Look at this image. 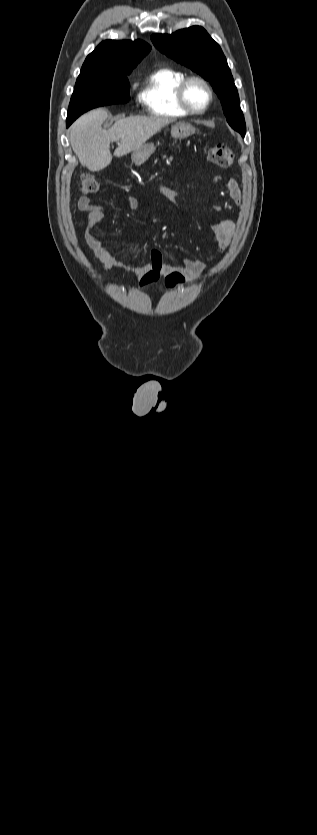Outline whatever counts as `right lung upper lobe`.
I'll return each instance as SVG.
<instances>
[{"mask_svg": "<svg viewBox=\"0 0 317 835\" xmlns=\"http://www.w3.org/2000/svg\"><path fill=\"white\" fill-rule=\"evenodd\" d=\"M151 47L140 40L134 42L106 40L87 56L81 73H105L133 69L150 51Z\"/></svg>", "mask_w": 317, "mask_h": 835, "instance_id": "obj_1", "label": "right lung upper lobe"}]
</instances>
